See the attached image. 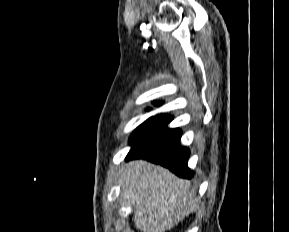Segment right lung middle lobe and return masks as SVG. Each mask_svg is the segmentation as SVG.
<instances>
[{"label":"right lung middle lobe","instance_id":"1","mask_svg":"<svg viewBox=\"0 0 289 232\" xmlns=\"http://www.w3.org/2000/svg\"><path fill=\"white\" fill-rule=\"evenodd\" d=\"M172 120L173 117L166 114H158L150 117L133 132L130 137V144L133 145L145 139L156 131L164 128Z\"/></svg>","mask_w":289,"mask_h":232}]
</instances>
